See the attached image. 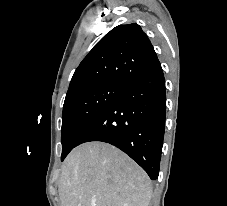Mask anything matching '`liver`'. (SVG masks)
Instances as JSON below:
<instances>
[{
	"instance_id": "liver-1",
	"label": "liver",
	"mask_w": 227,
	"mask_h": 206,
	"mask_svg": "<svg viewBox=\"0 0 227 206\" xmlns=\"http://www.w3.org/2000/svg\"><path fill=\"white\" fill-rule=\"evenodd\" d=\"M151 195L146 172L107 143L76 147L62 166L61 206H149Z\"/></svg>"
}]
</instances>
